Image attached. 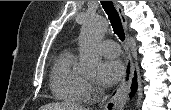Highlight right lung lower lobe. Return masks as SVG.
Wrapping results in <instances>:
<instances>
[{
    "label": "right lung lower lobe",
    "instance_id": "obj_1",
    "mask_svg": "<svg viewBox=\"0 0 171 110\" xmlns=\"http://www.w3.org/2000/svg\"><path fill=\"white\" fill-rule=\"evenodd\" d=\"M136 88H137L136 77H134L132 86H131L132 91L130 93V96H132L134 94V92L136 91Z\"/></svg>",
    "mask_w": 171,
    "mask_h": 110
}]
</instances>
